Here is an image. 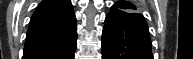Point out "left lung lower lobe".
<instances>
[{
  "instance_id": "obj_1",
  "label": "left lung lower lobe",
  "mask_w": 193,
  "mask_h": 59,
  "mask_svg": "<svg viewBox=\"0 0 193 59\" xmlns=\"http://www.w3.org/2000/svg\"><path fill=\"white\" fill-rule=\"evenodd\" d=\"M102 59H153L144 17L110 11L102 33Z\"/></svg>"
}]
</instances>
